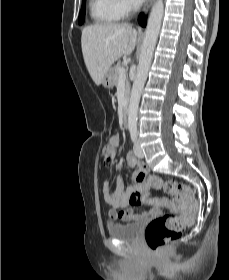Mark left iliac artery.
I'll return each mask as SVG.
<instances>
[{"label": "left iliac artery", "instance_id": "obj_1", "mask_svg": "<svg viewBox=\"0 0 229 280\" xmlns=\"http://www.w3.org/2000/svg\"><path fill=\"white\" fill-rule=\"evenodd\" d=\"M130 134H131V140H132L133 142H135V140H136V138H137V131H136V129H131V130H130Z\"/></svg>", "mask_w": 229, "mask_h": 280}]
</instances>
